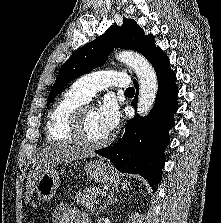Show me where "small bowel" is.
<instances>
[{
	"label": "small bowel",
	"instance_id": "c3829d8e",
	"mask_svg": "<svg viewBox=\"0 0 221 223\" xmlns=\"http://www.w3.org/2000/svg\"><path fill=\"white\" fill-rule=\"evenodd\" d=\"M53 223H90L88 216L68 204H60L54 213Z\"/></svg>",
	"mask_w": 221,
	"mask_h": 223
}]
</instances>
